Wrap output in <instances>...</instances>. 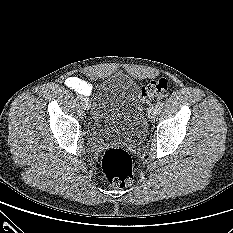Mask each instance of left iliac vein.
I'll return each instance as SVG.
<instances>
[{"mask_svg": "<svg viewBox=\"0 0 233 233\" xmlns=\"http://www.w3.org/2000/svg\"><path fill=\"white\" fill-rule=\"evenodd\" d=\"M157 112H158V107L156 105L151 106L148 110V118L150 120H154Z\"/></svg>", "mask_w": 233, "mask_h": 233, "instance_id": "left-iliac-vein-1", "label": "left iliac vein"}]
</instances>
